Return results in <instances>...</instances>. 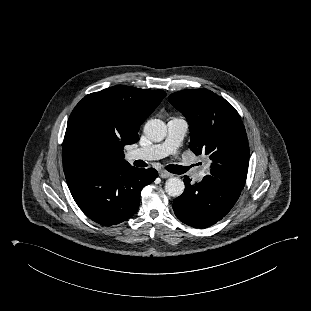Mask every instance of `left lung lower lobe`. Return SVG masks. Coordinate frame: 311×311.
<instances>
[{
    "label": "left lung lower lobe",
    "mask_w": 311,
    "mask_h": 311,
    "mask_svg": "<svg viewBox=\"0 0 311 311\" xmlns=\"http://www.w3.org/2000/svg\"><path fill=\"white\" fill-rule=\"evenodd\" d=\"M190 182L185 176V191L173 201V210L181 222L194 228H206L221 220L242 191L211 175L199 183Z\"/></svg>",
    "instance_id": "0a47b994"
}]
</instances>
